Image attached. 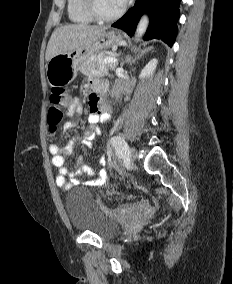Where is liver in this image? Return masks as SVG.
I'll return each instance as SVG.
<instances>
[{
  "instance_id": "1",
  "label": "liver",
  "mask_w": 233,
  "mask_h": 284,
  "mask_svg": "<svg viewBox=\"0 0 233 284\" xmlns=\"http://www.w3.org/2000/svg\"><path fill=\"white\" fill-rule=\"evenodd\" d=\"M106 29V27L83 24L65 25L55 29L47 45L46 61L58 54L91 45Z\"/></svg>"
}]
</instances>
